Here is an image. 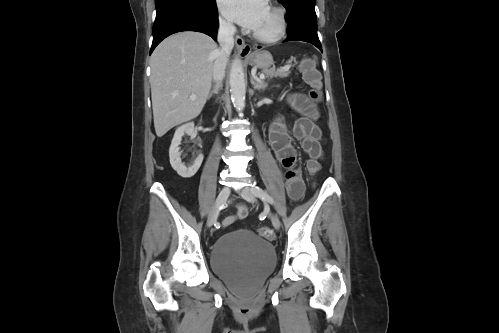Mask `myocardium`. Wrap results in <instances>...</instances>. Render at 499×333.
Listing matches in <instances>:
<instances>
[{
    "label": "myocardium",
    "mask_w": 499,
    "mask_h": 333,
    "mask_svg": "<svg viewBox=\"0 0 499 333\" xmlns=\"http://www.w3.org/2000/svg\"><path fill=\"white\" fill-rule=\"evenodd\" d=\"M269 10L274 13L277 18L278 26L276 31L271 35H264L254 31L252 36L259 42L271 44L281 40L287 31V17L284 9L279 6L271 5Z\"/></svg>",
    "instance_id": "1"
}]
</instances>
